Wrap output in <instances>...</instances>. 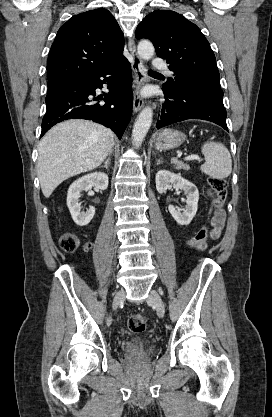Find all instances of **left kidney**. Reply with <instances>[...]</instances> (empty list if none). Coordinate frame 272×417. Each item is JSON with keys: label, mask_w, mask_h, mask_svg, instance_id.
<instances>
[{"label": "left kidney", "mask_w": 272, "mask_h": 417, "mask_svg": "<svg viewBox=\"0 0 272 417\" xmlns=\"http://www.w3.org/2000/svg\"><path fill=\"white\" fill-rule=\"evenodd\" d=\"M171 186L175 189L183 190L186 194V206L183 212L169 205L168 209L175 221L180 225H189L196 215L198 208L199 192L197 187L188 180L167 170H160L156 174V189L162 194Z\"/></svg>", "instance_id": "1"}]
</instances>
